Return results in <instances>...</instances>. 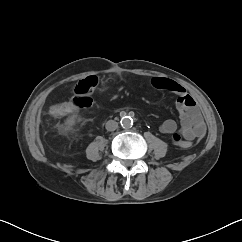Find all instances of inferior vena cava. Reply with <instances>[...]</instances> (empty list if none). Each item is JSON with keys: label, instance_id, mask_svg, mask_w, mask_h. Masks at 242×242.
<instances>
[{"label": "inferior vena cava", "instance_id": "obj_1", "mask_svg": "<svg viewBox=\"0 0 242 242\" xmlns=\"http://www.w3.org/2000/svg\"><path fill=\"white\" fill-rule=\"evenodd\" d=\"M108 131H114L118 127V123L115 120H109L105 125Z\"/></svg>", "mask_w": 242, "mask_h": 242}]
</instances>
